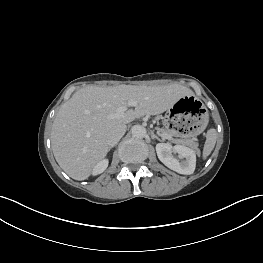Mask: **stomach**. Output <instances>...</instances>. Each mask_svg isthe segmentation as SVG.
<instances>
[{"label": "stomach", "mask_w": 263, "mask_h": 263, "mask_svg": "<svg viewBox=\"0 0 263 263\" xmlns=\"http://www.w3.org/2000/svg\"><path fill=\"white\" fill-rule=\"evenodd\" d=\"M163 123L176 137L195 138L205 131L208 114L196 97L188 95L167 110Z\"/></svg>", "instance_id": "obj_1"}]
</instances>
